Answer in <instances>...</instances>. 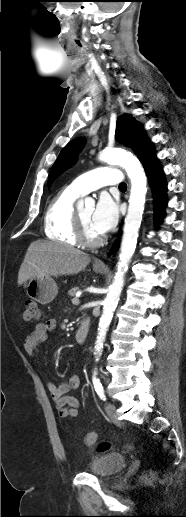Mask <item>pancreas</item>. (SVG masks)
Listing matches in <instances>:
<instances>
[{"instance_id": "pancreas-1", "label": "pancreas", "mask_w": 186, "mask_h": 517, "mask_svg": "<svg viewBox=\"0 0 186 517\" xmlns=\"http://www.w3.org/2000/svg\"><path fill=\"white\" fill-rule=\"evenodd\" d=\"M77 291H79V287H73L72 289H70L68 291V295H70L71 297H74Z\"/></svg>"}]
</instances>
